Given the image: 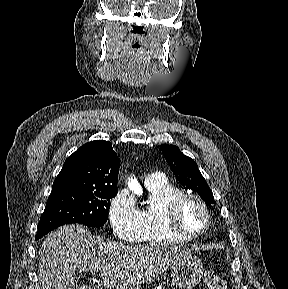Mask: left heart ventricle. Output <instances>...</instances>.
I'll return each mask as SVG.
<instances>
[{
	"instance_id": "left-heart-ventricle-1",
	"label": "left heart ventricle",
	"mask_w": 288,
	"mask_h": 289,
	"mask_svg": "<svg viewBox=\"0 0 288 289\" xmlns=\"http://www.w3.org/2000/svg\"><path fill=\"white\" fill-rule=\"evenodd\" d=\"M180 226L190 233L201 231L206 224L204 211L195 201L184 202L178 211Z\"/></svg>"
}]
</instances>
